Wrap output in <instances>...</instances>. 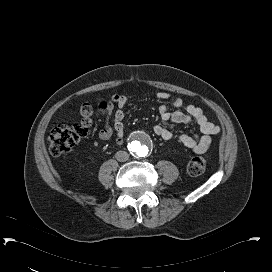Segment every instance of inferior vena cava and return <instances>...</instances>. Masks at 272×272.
Returning <instances> with one entry per match:
<instances>
[{
  "instance_id": "inferior-vena-cava-1",
  "label": "inferior vena cava",
  "mask_w": 272,
  "mask_h": 272,
  "mask_svg": "<svg viewBox=\"0 0 272 272\" xmlns=\"http://www.w3.org/2000/svg\"><path fill=\"white\" fill-rule=\"evenodd\" d=\"M115 157L119 162H125L129 159V154L125 151H118Z\"/></svg>"
}]
</instances>
